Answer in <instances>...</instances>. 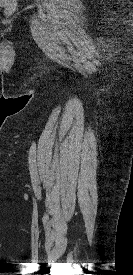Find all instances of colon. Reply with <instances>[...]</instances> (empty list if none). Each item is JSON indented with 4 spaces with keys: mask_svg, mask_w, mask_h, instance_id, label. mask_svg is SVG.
<instances>
[{
    "mask_svg": "<svg viewBox=\"0 0 133 275\" xmlns=\"http://www.w3.org/2000/svg\"><path fill=\"white\" fill-rule=\"evenodd\" d=\"M1 6L3 7L5 13L11 14L16 9V0H3Z\"/></svg>",
    "mask_w": 133,
    "mask_h": 275,
    "instance_id": "obj_1",
    "label": "colon"
}]
</instances>
